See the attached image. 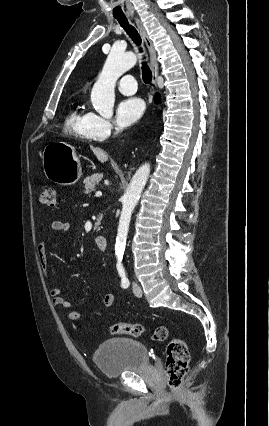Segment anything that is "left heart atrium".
Instances as JSON below:
<instances>
[{"mask_svg":"<svg viewBox=\"0 0 269 426\" xmlns=\"http://www.w3.org/2000/svg\"><path fill=\"white\" fill-rule=\"evenodd\" d=\"M144 102L137 97L122 100L116 109V123L120 128H127L135 124L143 115Z\"/></svg>","mask_w":269,"mask_h":426,"instance_id":"1","label":"left heart atrium"}]
</instances>
